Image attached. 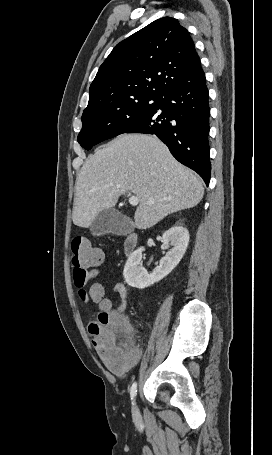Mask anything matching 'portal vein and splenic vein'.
I'll list each match as a JSON object with an SVG mask.
<instances>
[{
    "label": "portal vein and splenic vein",
    "mask_w": 272,
    "mask_h": 455,
    "mask_svg": "<svg viewBox=\"0 0 272 455\" xmlns=\"http://www.w3.org/2000/svg\"><path fill=\"white\" fill-rule=\"evenodd\" d=\"M129 203L132 206H136V205H138L139 200H138V198L135 195H131L130 198H129Z\"/></svg>",
    "instance_id": "obj_1"
}]
</instances>
